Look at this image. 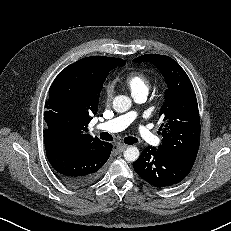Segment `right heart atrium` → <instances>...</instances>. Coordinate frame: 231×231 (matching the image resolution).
<instances>
[{
  "mask_svg": "<svg viewBox=\"0 0 231 231\" xmlns=\"http://www.w3.org/2000/svg\"><path fill=\"white\" fill-rule=\"evenodd\" d=\"M114 94V87L112 84H107L104 88V96L106 100H110Z\"/></svg>",
  "mask_w": 231,
  "mask_h": 231,
  "instance_id": "obj_1",
  "label": "right heart atrium"
}]
</instances>
